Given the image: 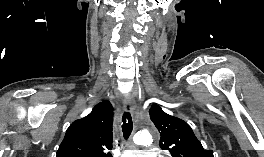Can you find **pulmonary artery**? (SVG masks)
Masks as SVG:
<instances>
[{
	"mask_svg": "<svg viewBox=\"0 0 264 157\" xmlns=\"http://www.w3.org/2000/svg\"><path fill=\"white\" fill-rule=\"evenodd\" d=\"M122 157H156L152 151L126 152Z\"/></svg>",
	"mask_w": 264,
	"mask_h": 157,
	"instance_id": "pulmonary-artery-1",
	"label": "pulmonary artery"
}]
</instances>
